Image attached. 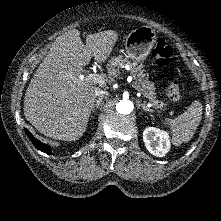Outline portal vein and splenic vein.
Masks as SVG:
<instances>
[{
    "label": "portal vein and splenic vein",
    "instance_id": "18ae733b",
    "mask_svg": "<svg viewBox=\"0 0 221 221\" xmlns=\"http://www.w3.org/2000/svg\"><path fill=\"white\" fill-rule=\"evenodd\" d=\"M79 78L81 80H85L86 82L91 83V84H99V85H104L105 84L104 77L101 76V75L94 74V73H90L86 77H84V75H80ZM132 86H133L134 89H136L134 84H132Z\"/></svg>",
    "mask_w": 221,
    "mask_h": 221
}]
</instances>
